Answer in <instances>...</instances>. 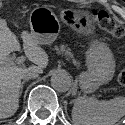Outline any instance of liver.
<instances>
[{"mask_svg":"<svg viewBox=\"0 0 125 125\" xmlns=\"http://www.w3.org/2000/svg\"><path fill=\"white\" fill-rule=\"evenodd\" d=\"M21 37L27 58L36 64L28 68L17 65L9 58L11 52L20 49V44L7 22L0 19V119L16 113L23 75L29 71L42 73V69L48 65L47 53L39 47L31 33L22 31Z\"/></svg>","mask_w":125,"mask_h":125,"instance_id":"obj_1","label":"liver"}]
</instances>
